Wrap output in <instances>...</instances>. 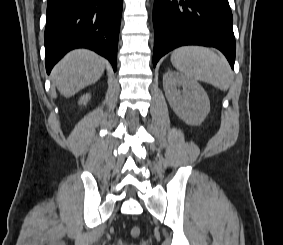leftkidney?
<instances>
[{"label": "left kidney", "instance_id": "obj_1", "mask_svg": "<svg viewBox=\"0 0 283 245\" xmlns=\"http://www.w3.org/2000/svg\"><path fill=\"white\" fill-rule=\"evenodd\" d=\"M163 88L171 108L186 124L200 125L204 121L210 111V102L199 83L168 71L163 76Z\"/></svg>", "mask_w": 283, "mask_h": 245}]
</instances>
